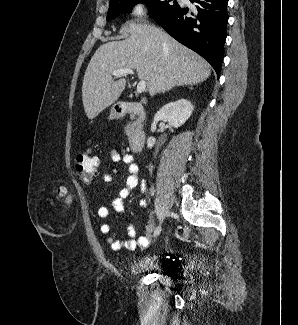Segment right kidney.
I'll use <instances>...</instances> for the list:
<instances>
[{"label":"right kidney","instance_id":"ca27d5eb","mask_svg":"<svg viewBox=\"0 0 298 325\" xmlns=\"http://www.w3.org/2000/svg\"><path fill=\"white\" fill-rule=\"evenodd\" d=\"M193 110L194 106L191 104L190 100H187V98H179V100H175V102L164 104V106H161V108L157 110L156 114H154V120L151 124V132H155L159 120H164V122L167 120L168 124H171L174 128H178V126H181V124H184V122L188 120ZM154 144H156L155 136H148V148H152Z\"/></svg>","mask_w":298,"mask_h":325}]
</instances>
